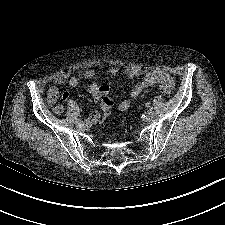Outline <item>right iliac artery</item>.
<instances>
[{
  "mask_svg": "<svg viewBox=\"0 0 225 225\" xmlns=\"http://www.w3.org/2000/svg\"><path fill=\"white\" fill-rule=\"evenodd\" d=\"M79 121H80V119L76 118V122H79Z\"/></svg>",
  "mask_w": 225,
  "mask_h": 225,
  "instance_id": "obj_1",
  "label": "right iliac artery"
}]
</instances>
